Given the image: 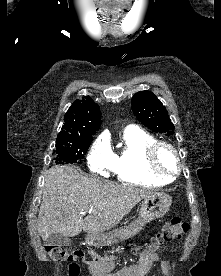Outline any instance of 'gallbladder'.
Returning <instances> with one entry per match:
<instances>
[{
  "label": "gallbladder",
  "mask_w": 221,
  "mask_h": 276,
  "mask_svg": "<svg viewBox=\"0 0 221 276\" xmlns=\"http://www.w3.org/2000/svg\"><path fill=\"white\" fill-rule=\"evenodd\" d=\"M45 243L46 245L62 247L69 246L71 244V240L59 233H53L46 239Z\"/></svg>",
  "instance_id": "obj_1"
}]
</instances>
